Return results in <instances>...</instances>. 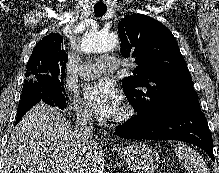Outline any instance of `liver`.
<instances>
[{
  "label": "liver",
  "mask_w": 219,
  "mask_h": 173,
  "mask_svg": "<svg viewBox=\"0 0 219 173\" xmlns=\"http://www.w3.org/2000/svg\"><path fill=\"white\" fill-rule=\"evenodd\" d=\"M86 155L88 173H103L104 154L98 142L83 152L73 127L55 107L39 102L12 132L1 173H75Z\"/></svg>",
  "instance_id": "1"
}]
</instances>
